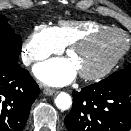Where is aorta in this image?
<instances>
[{"instance_id": "1", "label": "aorta", "mask_w": 131, "mask_h": 131, "mask_svg": "<svg viewBox=\"0 0 131 131\" xmlns=\"http://www.w3.org/2000/svg\"><path fill=\"white\" fill-rule=\"evenodd\" d=\"M55 104L57 108L61 110H67L72 105V99L68 93L61 92L56 96Z\"/></svg>"}]
</instances>
